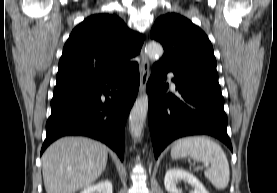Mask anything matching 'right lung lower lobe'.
<instances>
[{"instance_id": "98d812e1", "label": "right lung lower lobe", "mask_w": 277, "mask_h": 193, "mask_svg": "<svg viewBox=\"0 0 277 193\" xmlns=\"http://www.w3.org/2000/svg\"><path fill=\"white\" fill-rule=\"evenodd\" d=\"M136 62L104 76L56 85L43 151L66 135L88 136L124 158L125 124L139 89Z\"/></svg>"}]
</instances>
